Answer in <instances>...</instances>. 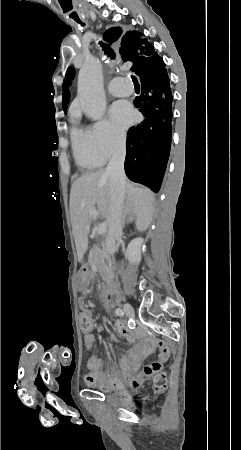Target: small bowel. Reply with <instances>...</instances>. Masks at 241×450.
Instances as JSON below:
<instances>
[{
  "mask_svg": "<svg viewBox=\"0 0 241 450\" xmlns=\"http://www.w3.org/2000/svg\"><path fill=\"white\" fill-rule=\"evenodd\" d=\"M79 288H85V284L79 285ZM82 311H89L92 316L89 309L83 307ZM115 329L119 337L128 343H133L134 346L125 352L117 367L108 371L103 370L104 359L97 356H91L87 362L89 370L87 378H89L90 384L104 389L115 388L123 383H127L131 388L137 389L141 386L146 377L161 370L163 364L167 362L169 358V350L163 341L160 340L155 342L154 340L146 338L140 330H131L121 321L116 322ZM83 340L86 350L92 352L95 344L94 335L92 333H84ZM154 346H157L159 349L158 359L136 373L142 357H150L152 354L147 351Z\"/></svg>",
  "mask_w": 241,
  "mask_h": 450,
  "instance_id": "c3829d8e",
  "label": "small bowel"
}]
</instances>
